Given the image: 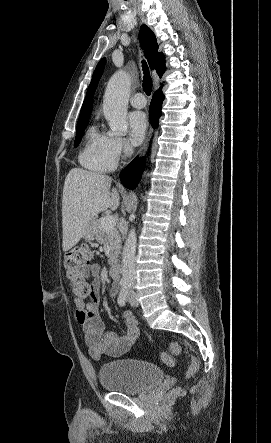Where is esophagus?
Masks as SVG:
<instances>
[{
    "mask_svg": "<svg viewBox=\"0 0 271 443\" xmlns=\"http://www.w3.org/2000/svg\"><path fill=\"white\" fill-rule=\"evenodd\" d=\"M151 135H152V127L149 128V132H148L147 139H146V141H145V143H144V145H143V147H142V149H141V153H142V154H144L145 151H146L147 148H148V144H149V141H150V137H151Z\"/></svg>",
    "mask_w": 271,
    "mask_h": 443,
    "instance_id": "34e87169",
    "label": "esophagus"
}]
</instances>
